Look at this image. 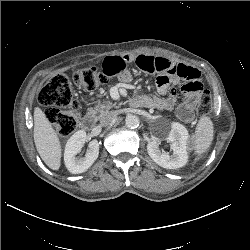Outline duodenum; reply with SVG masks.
Wrapping results in <instances>:
<instances>
[{"instance_id":"410a0bca","label":"duodenum","mask_w":250,"mask_h":250,"mask_svg":"<svg viewBox=\"0 0 250 250\" xmlns=\"http://www.w3.org/2000/svg\"><path fill=\"white\" fill-rule=\"evenodd\" d=\"M136 98L133 100V104L134 105H138L135 103ZM82 126L85 129H92L94 127V115L91 113H88L86 115H84V117L82 118Z\"/></svg>"}]
</instances>
